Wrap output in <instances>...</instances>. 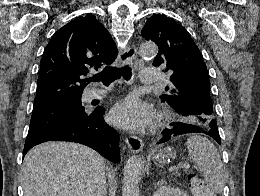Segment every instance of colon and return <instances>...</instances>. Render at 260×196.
<instances>
[{
  "label": "colon",
  "mask_w": 260,
  "mask_h": 196,
  "mask_svg": "<svg viewBox=\"0 0 260 196\" xmlns=\"http://www.w3.org/2000/svg\"><path fill=\"white\" fill-rule=\"evenodd\" d=\"M199 185H200V182L198 180L192 181L190 183L191 191L192 192L195 191L198 188Z\"/></svg>",
  "instance_id": "5ec220e1"
}]
</instances>
